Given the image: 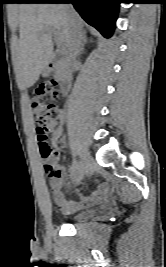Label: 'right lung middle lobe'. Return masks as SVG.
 Masks as SVG:
<instances>
[{
    "label": "right lung middle lobe",
    "mask_w": 166,
    "mask_h": 267,
    "mask_svg": "<svg viewBox=\"0 0 166 267\" xmlns=\"http://www.w3.org/2000/svg\"><path fill=\"white\" fill-rule=\"evenodd\" d=\"M23 1H25V0H18V3L23 2ZM26 1H27V0H26Z\"/></svg>",
    "instance_id": "obj_1"
}]
</instances>
